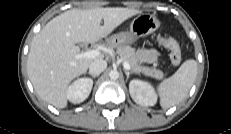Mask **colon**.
Segmentation results:
<instances>
[{
	"label": "colon",
	"mask_w": 231,
	"mask_h": 134,
	"mask_svg": "<svg viewBox=\"0 0 231 134\" xmlns=\"http://www.w3.org/2000/svg\"><path fill=\"white\" fill-rule=\"evenodd\" d=\"M155 42L170 51V59L173 65L177 66L181 62V48L178 42L172 38L156 37Z\"/></svg>",
	"instance_id": "1"
}]
</instances>
